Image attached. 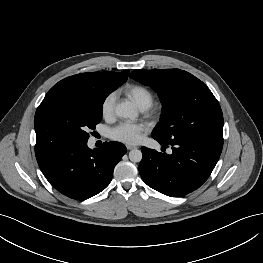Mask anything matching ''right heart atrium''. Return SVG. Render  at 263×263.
<instances>
[{"instance_id": "1", "label": "right heart atrium", "mask_w": 263, "mask_h": 263, "mask_svg": "<svg viewBox=\"0 0 263 263\" xmlns=\"http://www.w3.org/2000/svg\"><path fill=\"white\" fill-rule=\"evenodd\" d=\"M115 95L110 93L106 95L100 105V112L104 119H111L114 115Z\"/></svg>"}]
</instances>
